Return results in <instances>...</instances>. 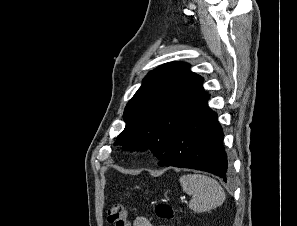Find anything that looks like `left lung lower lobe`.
Listing matches in <instances>:
<instances>
[{
    "instance_id": "1",
    "label": "left lung lower lobe",
    "mask_w": 297,
    "mask_h": 226,
    "mask_svg": "<svg viewBox=\"0 0 297 226\" xmlns=\"http://www.w3.org/2000/svg\"><path fill=\"white\" fill-rule=\"evenodd\" d=\"M206 95L179 127L172 143L158 163L206 171L229 178L230 166L223 147V131Z\"/></svg>"
}]
</instances>
